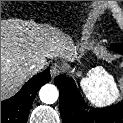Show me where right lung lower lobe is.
<instances>
[{
	"instance_id": "1",
	"label": "right lung lower lobe",
	"mask_w": 123,
	"mask_h": 123,
	"mask_svg": "<svg viewBox=\"0 0 123 123\" xmlns=\"http://www.w3.org/2000/svg\"><path fill=\"white\" fill-rule=\"evenodd\" d=\"M50 80L48 69L30 79L13 97L1 102V123H27L38 90Z\"/></svg>"
}]
</instances>
